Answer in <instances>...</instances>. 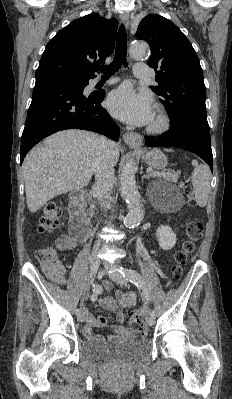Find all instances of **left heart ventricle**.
<instances>
[{
  "instance_id": "1",
  "label": "left heart ventricle",
  "mask_w": 232,
  "mask_h": 399,
  "mask_svg": "<svg viewBox=\"0 0 232 399\" xmlns=\"http://www.w3.org/2000/svg\"><path fill=\"white\" fill-rule=\"evenodd\" d=\"M156 122H157V112L155 111V115H154L153 120H152V121L150 122V124L147 125V126L153 125V124L156 123Z\"/></svg>"
}]
</instances>
